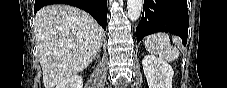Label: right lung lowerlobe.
<instances>
[{"instance_id":"right-lung-lower-lobe-1","label":"right lung lower lobe","mask_w":227,"mask_h":88,"mask_svg":"<svg viewBox=\"0 0 227 88\" xmlns=\"http://www.w3.org/2000/svg\"><path fill=\"white\" fill-rule=\"evenodd\" d=\"M55 3L69 4L85 10L106 30L107 0H35L34 13L43 6Z\"/></svg>"}]
</instances>
